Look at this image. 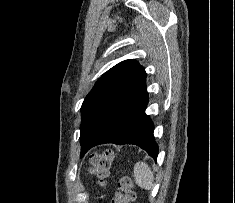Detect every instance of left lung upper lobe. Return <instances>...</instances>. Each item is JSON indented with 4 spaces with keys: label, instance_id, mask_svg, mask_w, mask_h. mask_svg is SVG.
I'll return each instance as SVG.
<instances>
[{
    "label": "left lung upper lobe",
    "instance_id": "1",
    "mask_svg": "<svg viewBox=\"0 0 235 203\" xmlns=\"http://www.w3.org/2000/svg\"><path fill=\"white\" fill-rule=\"evenodd\" d=\"M145 78L146 72L137 61L125 60L98 79L81 107V157Z\"/></svg>",
    "mask_w": 235,
    "mask_h": 203
}]
</instances>
